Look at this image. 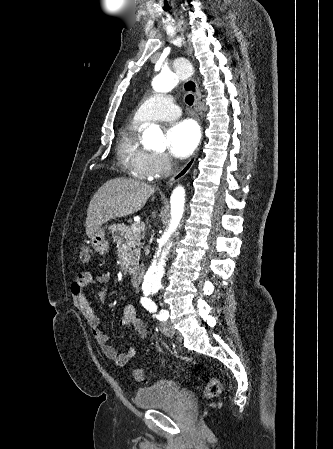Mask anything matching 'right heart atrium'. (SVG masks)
Masks as SVG:
<instances>
[{
  "instance_id": "d8ad5b80",
  "label": "right heart atrium",
  "mask_w": 333,
  "mask_h": 449,
  "mask_svg": "<svg viewBox=\"0 0 333 449\" xmlns=\"http://www.w3.org/2000/svg\"><path fill=\"white\" fill-rule=\"evenodd\" d=\"M148 166L151 178L163 177L173 169L172 159L165 153H150Z\"/></svg>"
}]
</instances>
